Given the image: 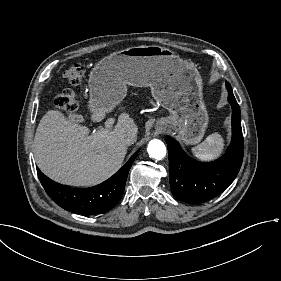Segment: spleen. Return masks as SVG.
I'll list each match as a JSON object with an SVG mask.
<instances>
[{
	"label": "spleen",
	"mask_w": 281,
	"mask_h": 281,
	"mask_svg": "<svg viewBox=\"0 0 281 281\" xmlns=\"http://www.w3.org/2000/svg\"><path fill=\"white\" fill-rule=\"evenodd\" d=\"M224 150V137L219 132H214L202 144L191 148L190 152L196 160L210 163L221 157Z\"/></svg>",
	"instance_id": "spleen-1"
}]
</instances>
